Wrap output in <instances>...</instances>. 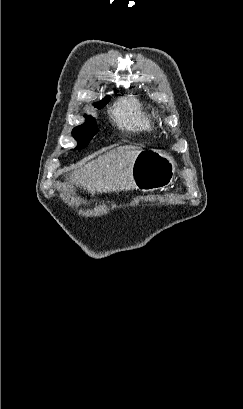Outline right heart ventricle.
<instances>
[{
    "mask_svg": "<svg viewBox=\"0 0 243 409\" xmlns=\"http://www.w3.org/2000/svg\"><path fill=\"white\" fill-rule=\"evenodd\" d=\"M112 116L119 127L135 132H152L156 124L154 109L135 97L119 100Z\"/></svg>",
    "mask_w": 243,
    "mask_h": 409,
    "instance_id": "obj_1",
    "label": "right heart ventricle"
}]
</instances>
